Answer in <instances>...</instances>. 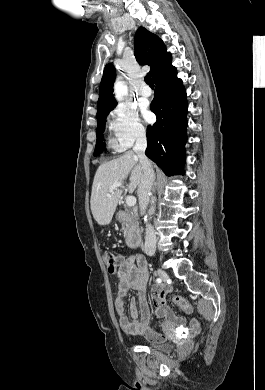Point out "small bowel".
<instances>
[{
  "label": "small bowel",
  "mask_w": 265,
  "mask_h": 390,
  "mask_svg": "<svg viewBox=\"0 0 265 390\" xmlns=\"http://www.w3.org/2000/svg\"><path fill=\"white\" fill-rule=\"evenodd\" d=\"M119 269L117 272V292L114 301L115 311L120 328L130 336L143 335L148 339H162L164 336L152 329L150 325L151 304L155 307L158 317H163L168 323H175L184 326V319L177 317L166 304L167 288L155 285L151 292H148V265L145 257L141 254H133L127 257H120ZM129 289L137 291V297L130 300L128 318L125 310V299ZM139 304V308L137 306ZM141 315L140 319L138 315ZM200 330V323L192 320L184 333L193 335Z\"/></svg>",
  "instance_id": "c3829d8e"
}]
</instances>
